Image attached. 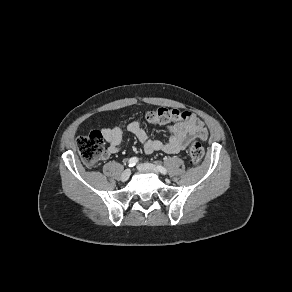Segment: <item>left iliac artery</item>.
I'll list each match as a JSON object with an SVG mask.
<instances>
[{
	"label": "left iliac artery",
	"instance_id": "44dca946",
	"mask_svg": "<svg viewBox=\"0 0 292 292\" xmlns=\"http://www.w3.org/2000/svg\"><path fill=\"white\" fill-rule=\"evenodd\" d=\"M157 169H158V171H159L160 173H162V174H167V170H166V168H164L163 166H161V165H157Z\"/></svg>",
	"mask_w": 292,
	"mask_h": 292
}]
</instances>
